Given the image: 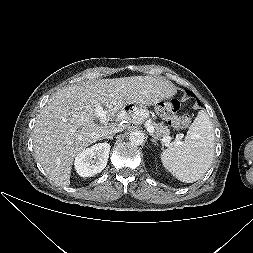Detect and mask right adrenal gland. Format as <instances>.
<instances>
[{
	"label": "right adrenal gland",
	"mask_w": 253,
	"mask_h": 253,
	"mask_svg": "<svg viewBox=\"0 0 253 253\" xmlns=\"http://www.w3.org/2000/svg\"><path fill=\"white\" fill-rule=\"evenodd\" d=\"M113 136H114V135H110V136H108V137L101 138V139H110V140H112V139H113Z\"/></svg>",
	"instance_id": "right-adrenal-gland-1"
}]
</instances>
